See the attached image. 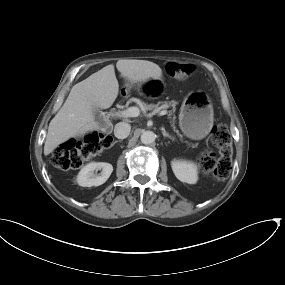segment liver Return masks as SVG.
Segmentation results:
<instances>
[{"label":"liver","mask_w":285,"mask_h":285,"mask_svg":"<svg viewBox=\"0 0 285 285\" xmlns=\"http://www.w3.org/2000/svg\"><path fill=\"white\" fill-rule=\"evenodd\" d=\"M121 76L131 84L149 79L160 80L161 68L146 60L121 59L116 63ZM119 93L114 65L110 64L74 85L61 109L51 120L44 145L49 155L71 138L101 130L94 109L112 106Z\"/></svg>","instance_id":"obj_1"}]
</instances>
